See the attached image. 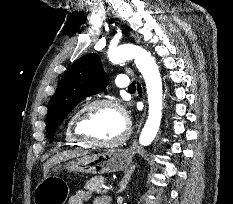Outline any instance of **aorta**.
<instances>
[{
  "instance_id": "obj_1",
  "label": "aorta",
  "mask_w": 233,
  "mask_h": 204,
  "mask_svg": "<svg viewBox=\"0 0 233 204\" xmlns=\"http://www.w3.org/2000/svg\"><path fill=\"white\" fill-rule=\"evenodd\" d=\"M108 58L114 64L134 59L138 70L143 75L147 88L149 113L140 134L139 143L147 146L156 137L162 117L163 92L158 66L149 52L133 44H124L110 49Z\"/></svg>"
}]
</instances>
